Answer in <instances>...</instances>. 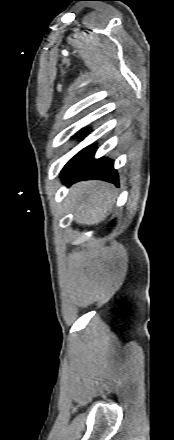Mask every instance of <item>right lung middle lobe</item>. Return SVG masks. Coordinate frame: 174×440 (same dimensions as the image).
Instances as JSON below:
<instances>
[{
    "label": "right lung middle lobe",
    "mask_w": 174,
    "mask_h": 440,
    "mask_svg": "<svg viewBox=\"0 0 174 440\" xmlns=\"http://www.w3.org/2000/svg\"><path fill=\"white\" fill-rule=\"evenodd\" d=\"M86 151V148L83 149L82 151H80L78 154H76L62 169L61 171V177L65 178L67 176H69L73 171H75V169L77 168V166L79 165L84 153Z\"/></svg>",
    "instance_id": "obj_1"
}]
</instances>
